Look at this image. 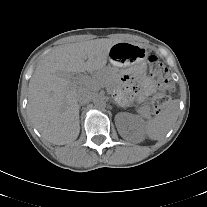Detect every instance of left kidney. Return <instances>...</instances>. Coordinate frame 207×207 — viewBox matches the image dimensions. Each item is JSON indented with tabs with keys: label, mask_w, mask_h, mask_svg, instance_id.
<instances>
[{
	"label": "left kidney",
	"mask_w": 207,
	"mask_h": 207,
	"mask_svg": "<svg viewBox=\"0 0 207 207\" xmlns=\"http://www.w3.org/2000/svg\"><path fill=\"white\" fill-rule=\"evenodd\" d=\"M120 135L127 140H138L143 137V119L130 113H118L115 116Z\"/></svg>",
	"instance_id": "1"
}]
</instances>
